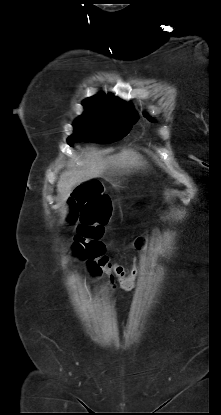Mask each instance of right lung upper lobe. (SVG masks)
Returning <instances> with one entry per match:
<instances>
[{"label": "right lung upper lobe", "mask_w": 221, "mask_h": 415, "mask_svg": "<svg viewBox=\"0 0 221 415\" xmlns=\"http://www.w3.org/2000/svg\"><path fill=\"white\" fill-rule=\"evenodd\" d=\"M84 106H92L109 110H125L136 113L131 104L121 101L112 94L99 93L83 101Z\"/></svg>", "instance_id": "1"}]
</instances>
